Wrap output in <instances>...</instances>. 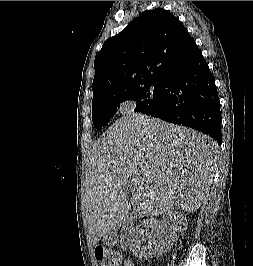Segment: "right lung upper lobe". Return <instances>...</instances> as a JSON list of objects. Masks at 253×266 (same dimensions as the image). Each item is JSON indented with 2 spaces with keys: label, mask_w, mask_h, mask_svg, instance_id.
<instances>
[{
  "label": "right lung upper lobe",
  "mask_w": 253,
  "mask_h": 266,
  "mask_svg": "<svg viewBox=\"0 0 253 266\" xmlns=\"http://www.w3.org/2000/svg\"><path fill=\"white\" fill-rule=\"evenodd\" d=\"M199 51L187 29L169 11H144L123 31L107 39L96 54L92 104L163 80Z\"/></svg>",
  "instance_id": "right-lung-upper-lobe-1"
}]
</instances>
